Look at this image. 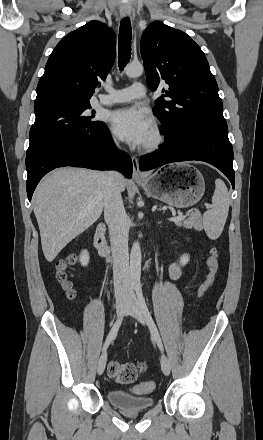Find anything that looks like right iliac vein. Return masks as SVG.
<instances>
[{
    "mask_svg": "<svg viewBox=\"0 0 263 440\" xmlns=\"http://www.w3.org/2000/svg\"><path fill=\"white\" fill-rule=\"evenodd\" d=\"M126 306H127V299L122 298V299L117 300L116 312H117L118 317H120L124 314ZM106 362H107V352L104 351L98 361L97 372L99 375H101L104 372Z\"/></svg>",
    "mask_w": 263,
    "mask_h": 440,
    "instance_id": "63e3f726",
    "label": "right iliac vein"
}]
</instances>
